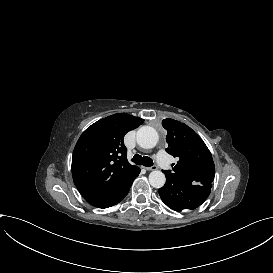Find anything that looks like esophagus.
Listing matches in <instances>:
<instances>
[{
	"label": "esophagus",
	"mask_w": 273,
	"mask_h": 273,
	"mask_svg": "<svg viewBox=\"0 0 273 273\" xmlns=\"http://www.w3.org/2000/svg\"><path fill=\"white\" fill-rule=\"evenodd\" d=\"M145 169L148 170V171H153V170H156V169H157V166H156V165H153V166H151V167H146Z\"/></svg>",
	"instance_id": "1"
}]
</instances>
